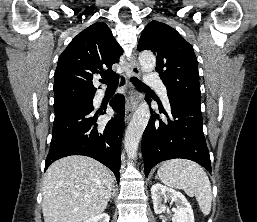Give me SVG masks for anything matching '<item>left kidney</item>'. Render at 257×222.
<instances>
[{
    "instance_id": "obj_1",
    "label": "left kidney",
    "mask_w": 257,
    "mask_h": 222,
    "mask_svg": "<svg viewBox=\"0 0 257 222\" xmlns=\"http://www.w3.org/2000/svg\"><path fill=\"white\" fill-rule=\"evenodd\" d=\"M151 196L156 214L165 213L168 210L166 202L171 201L176 205V207L172 208L174 213L173 222H194L192 207L179 191L156 183L151 187Z\"/></svg>"
}]
</instances>
